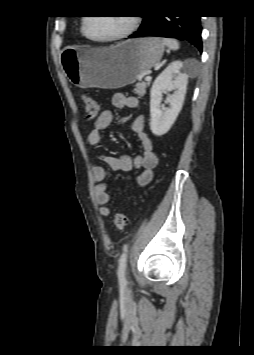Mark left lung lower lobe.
<instances>
[{"label": "left lung lower lobe", "mask_w": 254, "mask_h": 355, "mask_svg": "<svg viewBox=\"0 0 254 355\" xmlns=\"http://www.w3.org/2000/svg\"><path fill=\"white\" fill-rule=\"evenodd\" d=\"M139 30L129 38L142 36H159L166 38H183L191 42L202 52L201 16H164L145 15Z\"/></svg>", "instance_id": "1"}]
</instances>
